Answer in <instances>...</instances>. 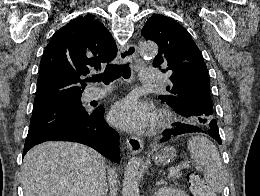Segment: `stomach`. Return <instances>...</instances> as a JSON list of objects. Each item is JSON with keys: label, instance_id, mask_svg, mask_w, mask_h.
Masks as SVG:
<instances>
[{"label": "stomach", "instance_id": "stomach-1", "mask_svg": "<svg viewBox=\"0 0 260 196\" xmlns=\"http://www.w3.org/2000/svg\"><path fill=\"white\" fill-rule=\"evenodd\" d=\"M176 156L177 152L175 148H172V146H166V148H161V150L156 152L155 156H153V160L158 164V166H165V164L173 162Z\"/></svg>", "mask_w": 260, "mask_h": 196}]
</instances>
